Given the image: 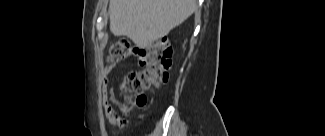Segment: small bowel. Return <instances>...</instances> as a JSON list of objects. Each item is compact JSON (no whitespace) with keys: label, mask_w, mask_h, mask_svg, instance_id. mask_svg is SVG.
<instances>
[{"label":"small bowel","mask_w":325,"mask_h":136,"mask_svg":"<svg viewBox=\"0 0 325 136\" xmlns=\"http://www.w3.org/2000/svg\"><path fill=\"white\" fill-rule=\"evenodd\" d=\"M128 55H134V60H136V66L139 69H144L147 66L146 63V55L149 54V49L144 48L143 44H129L127 49ZM114 65H108L103 70V106L105 110V115L109 122L115 126H124L127 124V120L124 116L128 113L130 108H125L122 110H118L113 97L119 98L120 93H125L126 88H131L133 83L131 80L135 79V75L139 73L137 68H131L129 73L123 75L121 77L120 86H118L117 91L113 92V97L111 94L110 89L113 87L110 83L109 75L111 74ZM110 88V89H109ZM137 106H144V105H137Z\"/></svg>","instance_id":"small-bowel-1"}]
</instances>
